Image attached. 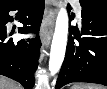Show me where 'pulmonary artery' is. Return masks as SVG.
Segmentation results:
<instances>
[{"instance_id": "1", "label": "pulmonary artery", "mask_w": 107, "mask_h": 89, "mask_svg": "<svg viewBox=\"0 0 107 89\" xmlns=\"http://www.w3.org/2000/svg\"><path fill=\"white\" fill-rule=\"evenodd\" d=\"M72 4H73L74 9L76 11L77 17L79 19H81V7H80V4H79V1L78 0H73Z\"/></svg>"}]
</instances>
